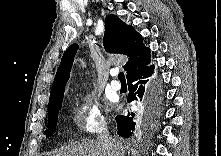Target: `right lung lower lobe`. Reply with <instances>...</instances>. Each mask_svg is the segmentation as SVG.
I'll use <instances>...</instances> for the list:
<instances>
[{"mask_svg":"<svg viewBox=\"0 0 221 156\" xmlns=\"http://www.w3.org/2000/svg\"><path fill=\"white\" fill-rule=\"evenodd\" d=\"M154 65H146L134 72L128 77L129 97L128 102L133 100L146 101L148 105L157 112L160 106V97L157 93V87L152 83ZM133 113L128 115H117V133L122 137H130L135 129V119Z\"/></svg>","mask_w":221,"mask_h":156,"instance_id":"right-lung-lower-lobe-1","label":"right lung lower lobe"}]
</instances>
